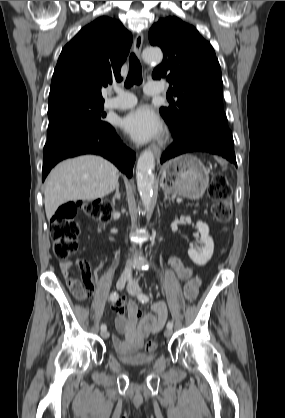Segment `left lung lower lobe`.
<instances>
[{"mask_svg":"<svg viewBox=\"0 0 285 418\" xmlns=\"http://www.w3.org/2000/svg\"><path fill=\"white\" fill-rule=\"evenodd\" d=\"M193 151L221 155L237 166L232 132L228 126L213 122L197 124L184 135L174 137V142L162 154L160 162L164 163L178 155Z\"/></svg>","mask_w":285,"mask_h":418,"instance_id":"left-lung-lower-lobe-1","label":"left lung lower lobe"}]
</instances>
